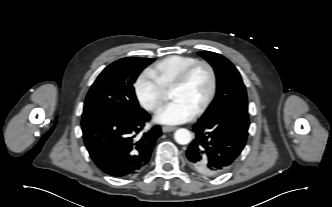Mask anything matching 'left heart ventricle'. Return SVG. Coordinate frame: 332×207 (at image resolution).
<instances>
[{
    "label": "left heart ventricle",
    "mask_w": 332,
    "mask_h": 207,
    "mask_svg": "<svg viewBox=\"0 0 332 207\" xmlns=\"http://www.w3.org/2000/svg\"><path fill=\"white\" fill-rule=\"evenodd\" d=\"M209 88V73L201 66L194 70L182 87L171 89L169 95L171 99H179L196 111L206 98Z\"/></svg>",
    "instance_id": "1"
}]
</instances>
